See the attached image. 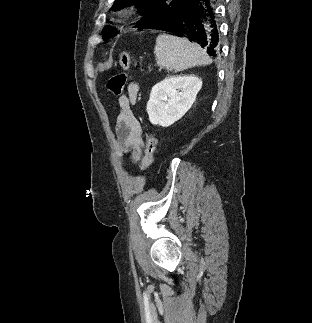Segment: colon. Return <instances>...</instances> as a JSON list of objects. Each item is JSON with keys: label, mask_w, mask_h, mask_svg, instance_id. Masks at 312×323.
Returning a JSON list of instances; mask_svg holds the SVG:
<instances>
[{"label": "colon", "mask_w": 312, "mask_h": 323, "mask_svg": "<svg viewBox=\"0 0 312 323\" xmlns=\"http://www.w3.org/2000/svg\"><path fill=\"white\" fill-rule=\"evenodd\" d=\"M130 69V56L129 54H121L119 57V70L116 71L107 82V89L110 94L119 96L126 86V73ZM145 152L142 159L141 169L145 171L151 166L154 159L156 148V138L148 133L145 138Z\"/></svg>", "instance_id": "obj_1"}]
</instances>
